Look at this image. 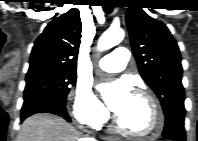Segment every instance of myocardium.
<instances>
[{"label":"myocardium","instance_id":"obj_1","mask_svg":"<svg viewBox=\"0 0 198 141\" xmlns=\"http://www.w3.org/2000/svg\"><path fill=\"white\" fill-rule=\"evenodd\" d=\"M133 93L135 95L144 97L149 102L151 106L152 128L147 132H136V131L130 130L121 123L118 115H116L115 124H116L117 129H119L121 132L129 136L136 137V138H150V137L156 136L159 133L161 126H162V115H161L160 107H159L157 100L151 93H149L148 91L144 89H135Z\"/></svg>","mask_w":198,"mask_h":141}]
</instances>
